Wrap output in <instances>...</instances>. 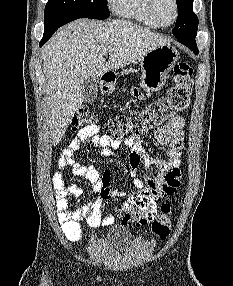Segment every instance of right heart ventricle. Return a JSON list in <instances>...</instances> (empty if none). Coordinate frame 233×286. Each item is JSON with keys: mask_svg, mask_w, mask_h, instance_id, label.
Returning <instances> with one entry per match:
<instances>
[{"mask_svg": "<svg viewBox=\"0 0 233 286\" xmlns=\"http://www.w3.org/2000/svg\"><path fill=\"white\" fill-rule=\"evenodd\" d=\"M112 11L123 18L135 20L151 28L158 24L148 12L147 0H109Z\"/></svg>", "mask_w": 233, "mask_h": 286, "instance_id": "1", "label": "right heart ventricle"}]
</instances>
